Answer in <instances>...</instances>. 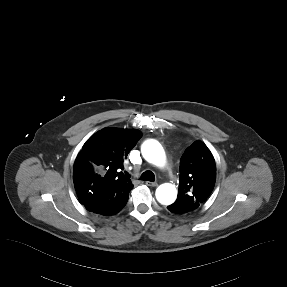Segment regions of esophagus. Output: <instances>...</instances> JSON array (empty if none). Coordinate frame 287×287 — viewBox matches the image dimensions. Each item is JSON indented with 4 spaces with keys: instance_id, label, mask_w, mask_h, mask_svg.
Listing matches in <instances>:
<instances>
[{
    "instance_id": "1",
    "label": "esophagus",
    "mask_w": 287,
    "mask_h": 287,
    "mask_svg": "<svg viewBox=\"0 0 287 287\" xmlns=\"http://www.w3.org/2000/svg\"><path fill=\"white\" fill-rule=\"evenodd\" d=\"M145 184H146L147 186H150V187H156V186H158V183H156V182H150V181H147Z\"/></svg>"
}]
</instances>
